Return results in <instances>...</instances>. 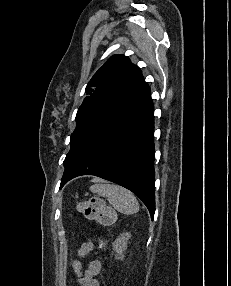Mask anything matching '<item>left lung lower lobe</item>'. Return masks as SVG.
Here are the masks:
<instances>
[{"mask_svg":"<svg viewBox=\"0 0 231 286\" xmlns=\"http://www.w3.org/2000/svg\"><path fill=\"white\" fill-rule=\"evenodd\" d=\"M154 107L144 83L90 129L71 152L61 180L95 175L135 193L155 212Z\"/></svg>","mask_w":231,"mask_h":286,"instance_id":"left-lung-lower-lobe-1","label":"left lung lower lobe"}]
</instances>
